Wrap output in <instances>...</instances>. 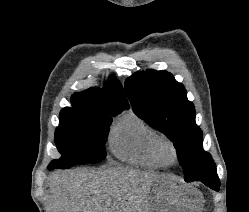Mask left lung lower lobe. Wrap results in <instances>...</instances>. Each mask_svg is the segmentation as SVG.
Returning <instances> with one entry per match:
<instances>
[{"label":"left lung lower lobe","instance_id":"1","mask_svg":"<svg viewBox=\"0 0 249 212\" xmlns=\"http://www.w3.org/2000/svg\"><path fill=\"white\" fill-rule=\"evenodd\" d=\"M186 182H191L189 180H185ZM201 182H203L206 186H208L209 188L215 190V191H219V187H220V181L219 178H215V179H208V180H200Z\"/></svg>","mask_w":249,"mask_h":212}]
</instances>
